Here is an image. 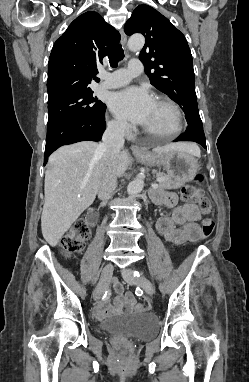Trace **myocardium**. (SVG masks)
I'll return each instance as SVG.
<instances>
[{
    "label": "myocardium",
    "mask_w": 249,
    "mask_h": 382,
    "mask_svg": "<svg viewBox=\"0 0 249 382\" xmlns=\"http://www.w3.org/2000/svg\"><path fill=\"white\" fill-rule=\"evenodd\" d=\"M156 102L164 104L165 106H167L168 108L171 109V111L174 114V121H175L174 129L170 133H167V134H155V133H152V132L148 131L145 128H143V131H144V133L146 135H148L150 137H153V138H156V139H159V140H170V139H173L182 130V127H183L182 112H181L179 106L175 102H173L171 99H169V98L158 97L156 99Z\"/></svg>",
    "instance_id": "1"
}]
</instances>
